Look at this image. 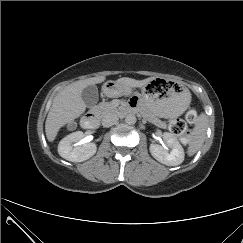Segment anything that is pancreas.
Instances as JSON below:
<instances>
[{
  "label": "pancreas",
  "mask_w": 243,
  "mask_h": 243,
  "mask_svg": "<svg viewBox=\"0 0 243 243\" xmlns=\"http://www.w3.org/2000/svg\"><path fill=\"white\" fill-rule=\"evenodd\" d=\"M117 110V105L113 102H102L96 106V111L98 115L104 116L107 113L114 112ZM144 116L147 117L150 121L155 122L156 124H163L157 118L151 116L150 114L144 113Z\"/></svg>",
  "instance_id": "cf45deb5"
}]
</instances>
